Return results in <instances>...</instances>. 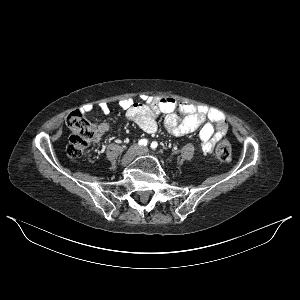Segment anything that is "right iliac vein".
I'll return each mask as SVG.
<instances>
[{
  "instance_id": "right-iliac-vein-1",
  "label": "right iliac vein",
  "mask_w": 300,
  "mask_h": 300,
  "mask_svg": "<svg viewBox=\"0 0 300 300\" xmlns=\"http://www.w3.org/2000/svg\"><path fill=\"white\" fill-rule=\"evenodd\" d=\"M138 152H139V148L136 145L131 146L123 156L122 164L123 165L129 164L136 157Z\"/></svg>"
}]
</instances>
